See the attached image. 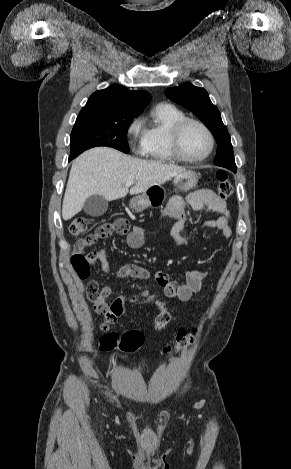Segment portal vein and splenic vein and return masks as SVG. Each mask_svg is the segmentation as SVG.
I'll return each instance as SVG.
<instances>
[{"label":"portal vein and splenic vein","instance_id":"1","mask_svg":"<svg viewBox=\"0 0 291 469\" xmlns=\"http://www.w3.org/2000/svg\"><path fill=\"white\" fill-rule=\"evenodd\" d=\"M132 184H134V181H128V182L126 183V186L129 187V186H131Z\"/></svg>","mask_w":291,"mask_h":469}]
</instances>
